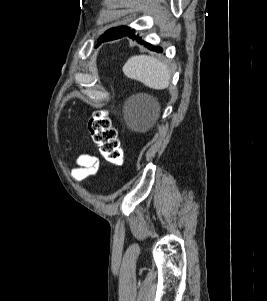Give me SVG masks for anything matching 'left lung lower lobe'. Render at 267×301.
<instances>
[{
	"instance_id": "0a47b994",
	"label": "left lung lower lobe",
	"mask_w": 267,
	"mask_h": 301,
	"mask_svg": "<svg viewBox=\"0 0 267 301\" xmlns=\"http://www.w3.org/2000/svg\"><path fill=\"white\" fill-rule=\"evenodd\" d=\"M134 32H135V30L133 29V30H130L126 33L111 35L109 38H106L103 42L112 41L114 39H118V38L128 36V37L132 38L133 40H136L137 42H139L141 44H144L145 46H147L152 51L162 52L163 49L161 47H155V46H153L149 43L144 42L141 39V37H139V35H136ZM103 42H101V43H103ZM98 45H100V44H98Z\"/></svg>"
}]
</instances>
